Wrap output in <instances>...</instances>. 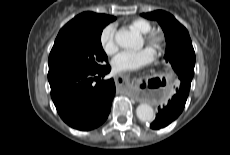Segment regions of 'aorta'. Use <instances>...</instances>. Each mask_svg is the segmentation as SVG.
<instances>
[{
    "label": "aorta",
    "mask_w": 230,
    "mask_h": 155,
    "mask_svg": "<svg viewBox=\"0 0 230 155\" xmlns=\"http://www.w3.org/2000/svg\"><path fill=\"white\" fill-rule=\"evenodd\" d=\"M115 41L120 47L131 48L140 41V38L128 29H120L115 35ZM136 114L140 121L146 123L152 122L155 116L153 108L147 103L138 105Z\"/></svg>",
    "instance_id": "obj_1"
}]
</instances>
